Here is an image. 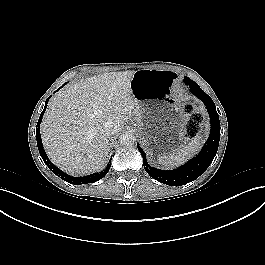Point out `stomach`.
<instances>
[{
  "label": "stomach",
  "mask_w": 265,
  "mask_h": 265,
  "mask_svg": "<svg viewBox=\"0 0 265 265\" xmlns=\"http://www.w3.org/2000/svg\"><path fill=\"white\" fill-rule=\"evenodd\" d=\"M176 78L172 71L143 69L130 84L138 110L136 126L147 153L158 161L173 157L184 139L181 104L172 96Z\"/></svg>",
  "instance_id": "0dacf381"
}]
</instances>
